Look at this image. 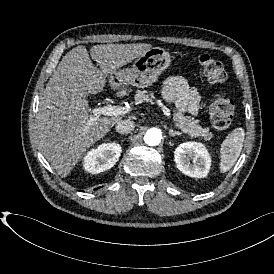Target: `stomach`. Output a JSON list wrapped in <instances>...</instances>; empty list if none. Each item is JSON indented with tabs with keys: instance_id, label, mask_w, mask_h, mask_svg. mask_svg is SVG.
Instances as JSON below:
<instances>
[{
	"instance_id": "stomach-1",
	"label": "stomach",
	"mask_w": 274,
	"mask_h": 274,
	"mask_svg": "<svg viewBox=\"0 0 274 274\" xmlns=\"http://www.w3.org/2000/svg\"><path fill=\"white\" fill-rule=\"evenodd\" d=\"M171 57L161 47H153L139 56L127 71H114L110 76L111 86L115 90L124 91L123 85L146 88L157 81L158 76L169 67Z\"/></svg>"
}]
</instances>
